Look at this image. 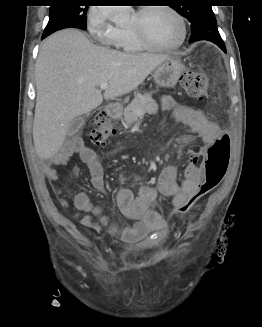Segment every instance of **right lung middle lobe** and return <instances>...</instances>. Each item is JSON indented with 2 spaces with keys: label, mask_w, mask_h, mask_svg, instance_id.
<instances>
[{
  "label": "right lung middle lobe",
  "mask_w": 262,
  "mask_h": 327,
  "mask_svg": "<svg viewBox=\"0 0 262 327\" xmlns=\"http://www.w3.org/2000/svg\"><path fill=\"white\" fill-rule=\"evenodd\" d=\"M77 0H56L51 6L50 17L43 35H49L64 28H86L88 6H79Z\"/></svg>",
  "instance_id": "right-lung-middle-lobe-1"
}]
</instances>
